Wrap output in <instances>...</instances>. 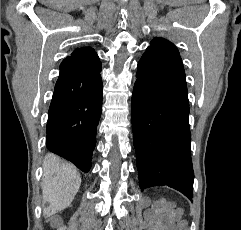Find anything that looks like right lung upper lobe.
I'll use <instances>...</instances> for the list:
<instances>
[{
    "label": "right lung upper lobe",
    "mask_w": 241,
    "mask_h": 230,
    "mask_svg": "<svg viewBox=\"0 0 241 230\" xmlns=\"http://www.w3.org/2000/svg\"><path fill=\"white\" fill-rule=\"evenodd\" d=\"M67 59L73 60L80 67L98 69L101 62L94 49L90 47L77 48Z\"/></svg>",
    "instance_id": "1"
}]
</instances>
